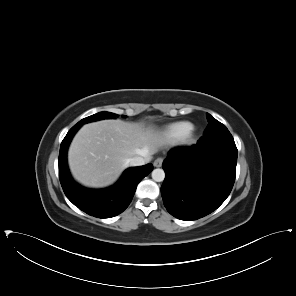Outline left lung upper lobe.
Instances as JSON below:
<instances>
[{"mask_svg": "<svg viewBox=\"0 0 296 296\" xmlns=\"http://www.w3.org/2000/svg\"><path fill=\"white\" fill-rule=\"evenodd\" d=\"M208 120L207 129L202 137L206 146H218V145H235L234 139L225 125L217 121L210 114H206Z\"/></svg>", "mask_w": 296, "mask_h": 296, "instance_id": "obj_1", "label": "left lung upper lobe"}]
</instances>
